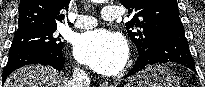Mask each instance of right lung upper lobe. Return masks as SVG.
Masks as SVG:
<instances>
[{"label": "right lung upper lobe", "instance_id": "right-lung-upper-lobe-1", "mask_svg": "<svg viewBox=\"0 0 205 87\" xmlns=\"http://www.w3.org/2000/svg\"><path fill=\"white\" fill-rule=\"evenodd\" d=\"M70 0H22L19 4V26L17 32L56 28L64 17L61 9H66Z\"/></svg>", "mask_w": 205, "mask_h": 87}]
</instances>
